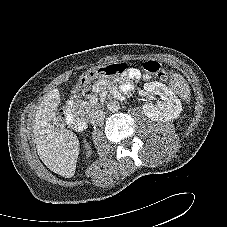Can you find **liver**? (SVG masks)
I'll use <instances>...</instances> for the list:
<instances>
[{"label":"liver","mask_w":227,"mask_h":227,"mask_svg":"<svg viewBox=\"0 0 227 227\" xmlns=\"http://www.w3.org/2000/svg\"><path fill=\"white\" fill-rule=\"evenodd\" d=\"M60 104L58 89L50 90L42 99L34 118L33 133L37 153L54 173L71 178L76 169L79 155V140L75 133L50 124L55 120Z\"/></svg>","instance_id":"1"}]
</instances>
